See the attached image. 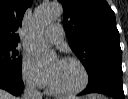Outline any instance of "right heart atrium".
I'll list each match as a JSON object with an SVG mask.
<instances>
[{
	"label": "right heart atrium",
	"mask_w": 128,
	"mask_h": 99,
	"mask_svg": "<svg viewBox=\"0 0 128 99\" xmlns=\"http://www.w3.org/2000/svg\"><path fill=\"white\" fill-rule=\"evenodd\" d=\"M21 77L23 83L33 90L43 89L48 83L46 72L43 71L29 55H25L22 59Z\"/></svg>",
	"instance_id": "d8ad5b80"
}]
</instances>
